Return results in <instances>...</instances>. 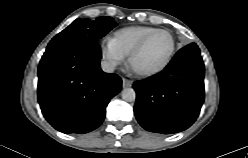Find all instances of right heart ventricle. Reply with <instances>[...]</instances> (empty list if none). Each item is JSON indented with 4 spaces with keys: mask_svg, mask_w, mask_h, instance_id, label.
I'll list each match as a JSON object with an SVG mask.
<instances>
[{
    "mask_svg": "<svg viewBox=\"0 0 248 158\" xmlns=\"http://www.w3.org/2000/svg\"><path fill=\"white\" fill-rule=\"evenodd\" d=\"M153 30L155 28L148 26L125 27L114 32L112 41L125 56H128L139 41Z\"/></svg>",
    "mask_w": 248,
    "mask_h": 158,
    "instance_id": "right-heart-ventricle-1",
    "label": "right heart ventricle"
}]
</instances>
